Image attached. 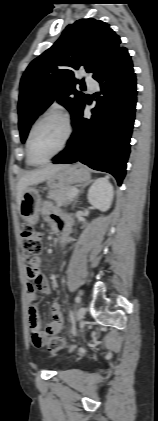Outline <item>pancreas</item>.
Returning <instances> with one entry per match:
<instances>
[{"label":"pancreas","mask_w":158,"mask_h":421,"mask_svg":"<svg viewBox=\"0 0 158 421\" xmlns=\"http://www.w3.org/2000/svg\"><path fill=\"white\" fill-rule=\"evenodd\" d=\"M73 189L75 188L72 186H69L63 189L51 190L48 193L47 198L54 200L57 206L69 204L72 201H74V198L70 197V194Z\"/></svg>","instance_id":"1"}]
</instances>
